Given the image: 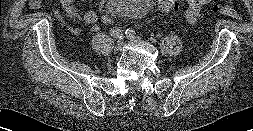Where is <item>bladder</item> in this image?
I'll return each instance as SVG.
<instances>
[{"label":"bladder","mask_w":253,"mask_h":131,"mask_svg":"<svg viewBox=\"0 0 253 131\" xmlns=\"http://www.w3.org/2000/svg\"><path fill=\"white\" fill-rule=\"evenodd\" d=\"M146 0H111L108 13L113 18L137 16L147 7Z\"/></svg>","instance_id":"31cf9c89"}]
</instances>
